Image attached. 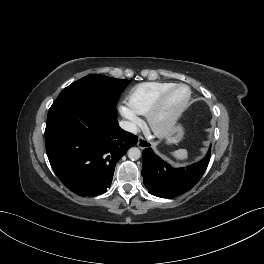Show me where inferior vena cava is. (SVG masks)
Returning a JSON list of instances; mask_svg holds the SVG:
<instances>
[{"mask_svg": "<svg viewBox=\"0 0 264 264\" xmlns=\"http://www.w3.org/2000/svg\"><path fill=\"white\" fill-rule=\"evenodd\" d=\"M119 126L123 130L131 132L133 134H137V132L139 131V128L136 126V124L129 122V121H120Z\"/></svg>", "mask_w": 264, "mask_h": 264, "instance_id": "1", "label": "inferior vena cava"}]
</instances>
